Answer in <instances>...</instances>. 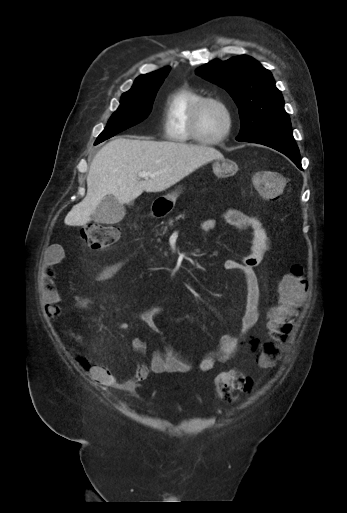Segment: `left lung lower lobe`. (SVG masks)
Listing matches in <instances>:
<instances>
[{
  "label": "left lung lower lobe",
  "mask_w": 347,
  "mask_h": 513,
  "mask_svg": "<svg viewBox=\"0 0 347 513\" xmlns=\"http://www.w3.org/2000/svg\"><path fill=\"white\" fill-rule=\"evenodd\" d=\"M246 142L258 143L271 147L290 158L296 166L303 170L299 149L294 141L291 129L275 130L252 138Z\"/></svg>",
  "instance_id": "left-lung-lower-lobe-1"
}]
</instances>
